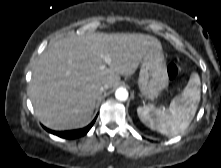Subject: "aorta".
<instances>
[{
	"mask_svg": "<svg viewBox=\"0 0 221 168\" xmlns=\"http://www.w3.org/2000/svg\"><path fill=\"white\" fill-rule=\"evenodd\" d=\"M115 97L119 101H126L128 98V91L125 88H118L115 92Z\"/></svg>",
	"mask_w": 221,
	"mask_h": 168,
	"instance_id": "762f6f07",
	"label": "aorta"
}]
</instances>
